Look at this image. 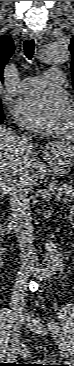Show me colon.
<instances>
[{"instance_id": "colon-1", "label": "colon", "mask_w": 74, "mask_h": 366, "mask_svg": "<svg viewBox=\"0 0 74 366\" xmlns=\"http://www.w3.org/2000/svg\"><path fill=\"white\" fill-rule=\"evenodd\" d=\"M28 366H50V365L44 363V361H41L34 364H28Z\"/></svg>"}]
</instances>
